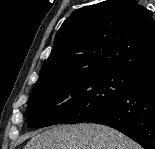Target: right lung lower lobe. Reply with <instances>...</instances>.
Instances as JSON below:
<instances>
[{
  "mask_svg": "<svg viewBox=\"0 0 155 149\" xmlns=\"http://www.w3.org/2000/svg\"><path fill=\"white\" fill-rule=\"evenodd\" d=\"M90 122L115 128L145 149H155V71L139 74L124 95Z\"/></svg>",
  "mask_w": 155,
  "mask_h": 149,
  "instance_id": "1",
  "label": "right lung lower lobe"
}]
</instances>
